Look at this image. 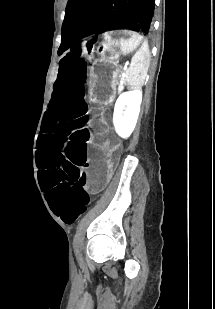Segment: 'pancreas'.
I'll return each instance as SVG.
<instances>
[{
	"label": "pancreas",
	"mask_w": 215,
	"mask_h": 309,
	"mask_svg": "<svg viewBox=\"0 0 215 309\" xmlns=\"http://www.w3.org/2000/svg\"><path fill=\"white\" fill-rule=\"evenodd\" d=\"M122 88H123V84H119L118 92H120V90H122Z\"/></svg>",
	"instance_id": "pancreas-1"
}]
</instances>
